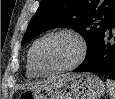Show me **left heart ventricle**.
I'll list each match as a JSON object with an SVG mask.
<instances>
[{
	"label": "left heart ventricle",
	"instance_id": "obj_1",
	"mask_svg": "<svg viewBox=\"0 0 115 99\" xmlns=\"http://www.w3.org/2000/svg\"><path fill=\"white\" fill-rule=\"evenodd\" d=\"M78 52V44L70 36H53L38 44L35 60L42 70L52 71L73 62Z\"/></svg>",
	"mask_w": 115,
	"mask_h": 99
}]
</instances>
